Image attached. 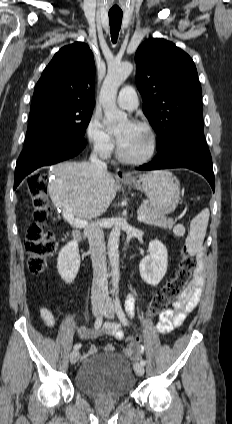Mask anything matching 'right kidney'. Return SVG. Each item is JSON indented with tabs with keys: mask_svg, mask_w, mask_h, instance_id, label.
Returning a JSON list of instances; mask_svg holds the SVG:
<instances>
[{
	"mask_svg": "<svg viewBox=\"0 0 232 424\" xmlns=\"http://www.w3.org/2000/svg\"><path fill=\"white\" fill-rule=\"evenodd\" d=\"M79 268L78 244L76 241H70L59 252L57 259L58 273L66 283H71L76 278Z\"/></svg>",
	"mask_w": 232,
	"mask_h": 424,
	"instance_id": "obj_1",
	"label": "right kidney"
}]
</instances>
